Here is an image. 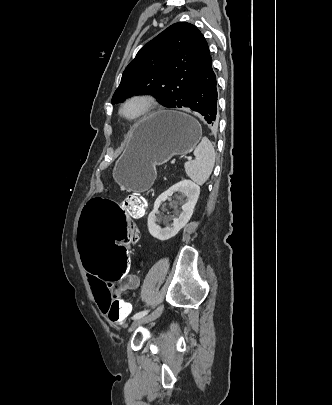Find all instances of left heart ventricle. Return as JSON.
I'll use <instances>...</instances> for the list:
<instances>
[{"instance_id":"1","label":"left heart ventricle","mask_w":332,"mask_h":405,"mask_svg":"<svg viewBox=\"0 0 332 405\" xmlns=\"http://www.w3.org/2000/svg\"><path fill=\"white\" fill-rule=\"evenodd\" d=\"M141 109H142L141 103L133 102L125 108V114L127 116H133V115H136L138 112H140Z\"/></svg>"}]
</instances>
